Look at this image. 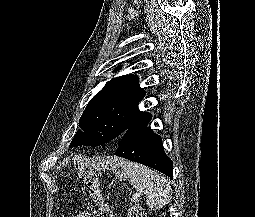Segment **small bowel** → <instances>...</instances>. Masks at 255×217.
I'll list each match as a JSON object with an SVG mask.
<instances>
[{"mask_svg": "<svg viewBox=\"0 0 255 217\" xmlns=\"http://www.w3.org/2000/svg\"><path fill=\"white\" fill-rule=\"evenodd\" d=\"M103 217H111L110 210L107 205H105L104 209H101ZM76 217H92V214L88 211L79 212Z\"/></svg>", "mask_w": 255, "mask_h": 217, "instance_id": "1", "label": "small bowel"}]
</instances>
